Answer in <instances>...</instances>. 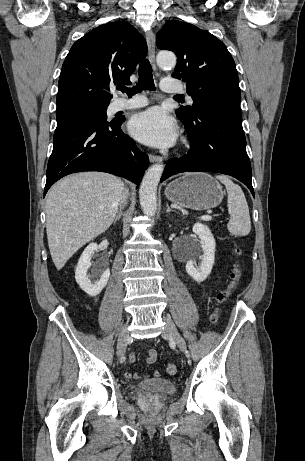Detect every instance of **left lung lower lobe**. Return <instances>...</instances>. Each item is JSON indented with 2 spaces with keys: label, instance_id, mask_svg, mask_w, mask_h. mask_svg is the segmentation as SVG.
Returning <instances> with one entry per match:
<instances>
[{
  "label": "left lung lower lobe",
  "instance_id": "obj_1",
  "mask_svg": "<svg viewBox=\"0 0 305 461\" xmlns=\"http://www.w3.org/2000/svg\"><path fill=\"white\" fill-rule=\"evenodd\" d=\"M181 121L191 148L187 155L168 160L161 182L180 172H219L243 182L254 196L239 103L211 104Z\"/></svg>",
  "mask_w": 305,
  "mask_h": 461
}]
</instances>
